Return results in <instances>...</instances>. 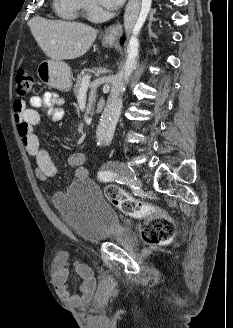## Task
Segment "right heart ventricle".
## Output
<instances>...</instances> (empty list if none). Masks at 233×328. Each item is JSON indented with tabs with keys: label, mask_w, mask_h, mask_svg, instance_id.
I'll return each instance as SVG.
<instances>
[{
	"label": "right heart ventricle",
	"mask_w": 233,
	"mask_h": 328,
	"mask_svg": "<svg viewBox=\"0 0 233 328\" xmlns=\"http://www.w3.org/2000/svg\"><path fill=\"white\" fill-rule=\"evenodd\" d=\"M55 9L59 15L68 19H74L81 11L79 0H55Z\"/></svg>",
	"instance_id": "obj_1"
}]
</instances>
